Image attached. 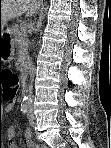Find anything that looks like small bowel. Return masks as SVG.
Instances as JSON below:
<instances>
[{"label":"small bowel","mask_w":111,"mask_h":148,"mask_svg":"<svg viewBox=\"0 0 111 148\" xmlns=\"http://www.w3.org/2000/svg\"><path fill=\"white\" fill-rule=\"evenodd\" d=\"M13 109H14V104L13 103L8 104L7 107H6V111L7 112H11ZM6 137H7L8 143H9L8 144L9 148H17L18 147L16 145V143L14 142L15 131H14V129L12 127L7 129ZM24 140H25L26 144L29 147H32V148L39 147L36 144V142L34 141L33 132L31 130H26L25 131V133H24Z\"/></svg>","instance_id":"obj_1"}]
</instances>
